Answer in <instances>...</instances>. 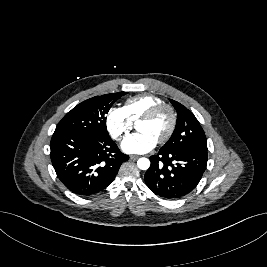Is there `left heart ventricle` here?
Listing matches in <instances>:
<instances>
[{
    "mask_svg": "<svg viewBox=\"0 0 267 267\" xmlns=\"http://www.w3.org/2000/svg\"><path fill=\"white\" fill-rule=\"evenodd\" d=\"M169 124L170 116L168 112L163 111L153 120L139 122L137 130L151 135L158 141L167 131Z\"/></svg>",
    "mask_w": 267,
    "mask_h": 267,
    "instance_id": "b2bd125f",
    "label": "left heart ventricle"
}]
</instances>
